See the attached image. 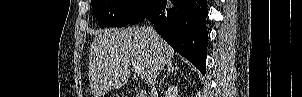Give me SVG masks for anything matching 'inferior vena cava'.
I'll return each mask as SVG.
<instances>
[{"label": "inferior vena cava", "instance_id": "inferior-vena-cava-1", "mask_svg": "<svg viewBox=\"0 0 302 97\" xmlns=\"http://www.w3.org/2000/svg\"><path fill=\"white\" fill-rule=\"evenodd\" d=\"M148 31H149L150 36L153 38V40L158 42V34L156 33L155 29L152 26H150V27H148ZM159 71H160V68L157 67L155 69L153 79H152V82H151V95H156L157 94L155 84H156V79L158 77Z\"/></svg>", "mask_w": 302, "mask_h": 97}]
</instances>
